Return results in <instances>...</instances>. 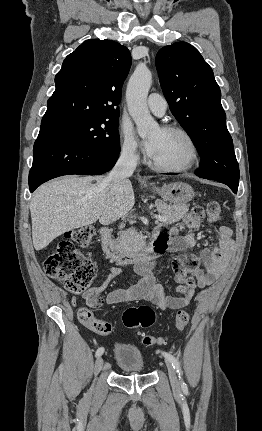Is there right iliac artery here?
<instances>
[{
	"mask_svg": "<svg viewBox=\"0 0 262 431\" xmlns=\"http://www.w3.org/2000/svg\"><path fill=\"white\" fill-rule=\"evenodd\" d=\"M104 353V348L100 347L96 351V357L101 356Z\"/></svg>",
	"mask_w": 262,
	"mask_h": 431,
	"instance_id": "82829eb1",
	"label": "right iliac artery"
}]
</instances>
